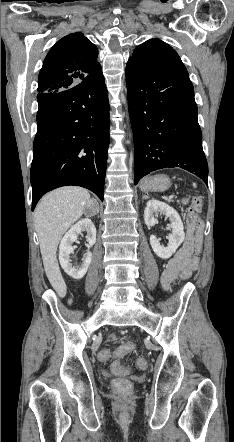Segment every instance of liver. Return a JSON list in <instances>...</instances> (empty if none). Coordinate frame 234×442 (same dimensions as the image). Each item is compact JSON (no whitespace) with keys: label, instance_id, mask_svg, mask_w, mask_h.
<instances>
[{"label":"liver","instance_id":"obj_1","mask_svg":"<svg viewBox=\"0 0 234 442\" xmlns=\"http://www.w3.org/2000/svg\"><path fill=\"white\" fill-rule=\"evenodd\" d=\"M90 200L87 190L67 186L46 194L35 209V229L45 273L59 297H65L67 287L57 261V247L67 229L82 216L85 206L91 204Z\"/></svg>","mask_w":234,"mask_h":442}]
</instances>
